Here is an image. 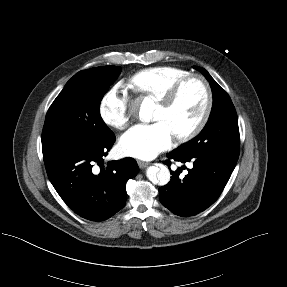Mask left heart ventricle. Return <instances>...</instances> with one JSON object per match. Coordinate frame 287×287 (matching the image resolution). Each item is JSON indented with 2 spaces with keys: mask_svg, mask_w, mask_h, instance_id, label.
<instances>
[{
  "mask_svg": "<svg viewBox=\"0 0 287 287\" xmlns=\"http://www.w3.org/2000/svg\"><path fill=\"white\" fill-rule=\"evenodd\" d=\"M206 104V94L202 84L192 80L184 86L176 103L169 110L157 105L153 121L164 122L173 136L190 130L200 119Z\"/></svg>",
  "mask_w": 287,
  "mask_h": 287,
  "instance_id": "obj_1",
  "label": "left heart ventricle"
}]
</instances>
